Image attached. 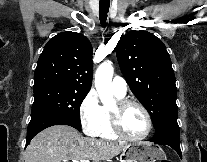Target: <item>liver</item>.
<instances>
[{
    "instance_id": "1",
    "label": "liver",
    "mask_w": 207,
    "mask_h": 162,
    "mask_svg": "<svg viewBox=\"0 0 207 162\" xmlns=\"http://www.w3.org/2000/svg\"><path fill=\"white\" fill-rule=\"evenodd\" d=\"M129 144L83 137L68 125H53L38 133L27 146L25 162L110 160Z\"/></svg>"
}]
</instances>
